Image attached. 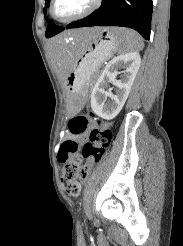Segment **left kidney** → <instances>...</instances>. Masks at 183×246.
<instances>
[{
  "label": "left kidney",
  "mask_w": 183,
  "mask_h": 246,
  "mask_svg": "<svg viewBox=\"0 0 183 246\" xmlns=\"http://www.w3.org/2000/svg\"><path fill=\"white\" fill-rule=\"evenodd\" d=\"M140 64L141 57L138 52L121 54L109 61L91 93V108L96 115L111 120L119 114L128 98ZM121 68L125 69L124 74L117 80L116 76ZM108 82L116 86L115 94L108 89ZM108 97L111 101H107Z\"/></svg>",
  "instance_id": "5707ae66"
}]
</instances>
